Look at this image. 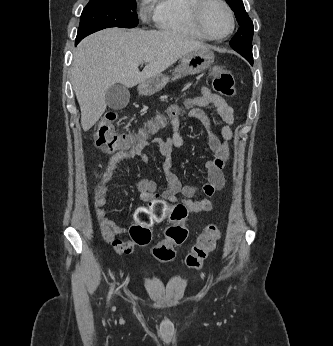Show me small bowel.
Masks as SVG:
<instances>
[{
    "mask_svg": "<svg viewBox=\"0 0 333 346\" xmlns=\"http://www.w3.org/2000/svg\"><path fill=\"white\" fill-rule=\"evenodd\" d=\"M190 108L188 114L181 118L179 115L171 120L172 135L167 139L154 138L147 140L136 147L115 154L109 161L108 167L102 175L101 182L96 187L94 208L99 223L101 234L104 240L110 244L113 254H134L136 250V240L134 235L127 232L128 229L120 226L116 220L109 215L106 208L110 191L108 185L112 182L115 171L121 161L128 158H138L144 163L150 162L149 155L145 152L146 147H154L162 156L166 157L163 164V172L166 177V185L158 191L154 181L140 179L136 186L141 192L142 202H149L155 198H162L170 203L183 205L187 213H202L213 208L212 196L223 189L225 178L223 168L229 155V148L226 141L233 138L232 124L234 123L233 109L219 95L213 93L207 86L201 89V95L190 98L187 101ZM214 107L222 120V124L215 128L203 108ZM191 118L199 120L207 129L208 144L213 157L206 162V181L201 188L183 185L179 178L172 172L170 155L174 147H181L184 139L180 134L183 123ZM201 190L207 197L194 199L198 191ZM182 195V198L178 196ZM125 234V236H117Z\"/></svg>",
    "mask_w": 333,
    "mask_h": 346,
    "instance_id": "c3829d8e",
    "label": "small bowel"
}]
</instances>
